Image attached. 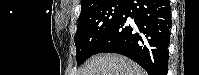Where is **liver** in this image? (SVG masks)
<instances>
[{"mask_svg":"<svg viewBox=\"0 0 199 75\" xmlns=\"http://www.w3.org/2000/svg\"><path fill=\"white\" fill-rule=\"evenodd\" d=\"M77 75H146V72L125 56L99 54L89 59Z\"/></svg>","mask_w":199,"mask_h":75,"instance_id":"liver-1","label":"liver"}]
</instances>
